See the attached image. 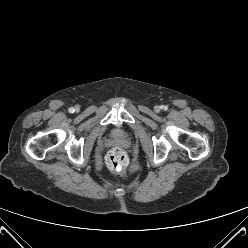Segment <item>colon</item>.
Masks as SVG:
<instances>
[{"instance_id": "obj_1", "label": "colon", "mask_w": 248, "mask_h": 248, "mask_svg": "<svg viewBox=\"0 0 248 248\" xmlns=\"http://www.w3.org/2000/svg\"><path fill=\"white\" fill-rule=\"evenodd\" d=\"M106 163L110 170L122 175L125 173L127 167V155L123 149L115 147L109 151L106 157Z\"/></svg>"}]
</instances>
